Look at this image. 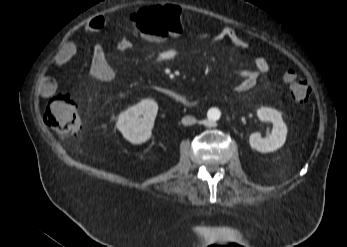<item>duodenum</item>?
<instances>
[{"label": "duodenum", "mask_w": 347, "mask_h": 247, "mask_svg": "<svg viewBox=\"0 0 347 247\" xmlns=\"http://www.w3.org/2000/svg\"><path fill=\"white\" fill-rule=\"evenodd\" d=\"M169 97L178 104L185 107L195 106L196 103V100L189 98L186 95L177 91H171Z\"/></svg>", "instance_id": "410a0bca"}]
</instances>
